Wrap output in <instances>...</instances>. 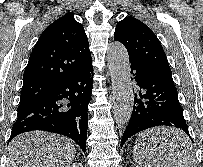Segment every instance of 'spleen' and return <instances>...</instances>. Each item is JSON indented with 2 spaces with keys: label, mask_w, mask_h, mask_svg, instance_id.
I'll return each instance as SVG.
<instances>
[{
  "label": "spleen",
  "mask_w": 203,
  "mask_h": 167,
  "mask_svg": "<svg viewBox=\"0 0 203 167\" xmlns=\"http://www.w3.org/2000/svg\"><path fill=\"white\" fill-rule=\"evenodd\" d=\"M178 141H180L181 144H183L184 146L186 145V147L190 149V141L185 135L180 136ZM146 149L148 150L147 155L145 154V144L140 138L133 150L134 160L137 164L136 167H166L165 163L158 160L157 157L152 154V152L155 151L154 149H149V147H146ZM183 155V162L188 164V166L186 167H193L192 165L195 164L193 154L186 152Z\"/></svg>",
  "instance_id": "spleen-1"
}]
</instances>
